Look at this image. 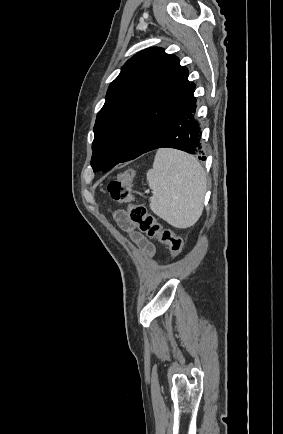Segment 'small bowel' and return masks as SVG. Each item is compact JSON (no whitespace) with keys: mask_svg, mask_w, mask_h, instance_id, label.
<instances>
[{"mask_svg":"<svg viewBox=\"0 0 283 434\" xmlns=\"http://www.w3.org/2000/svg\"><path fill=\"white\" fill-rule=\"evenodd\" d=\"M118 226L129 234L132 241L145 253L153 256L156 252L155 246L144 235L135 230V225L129 220L126 212L118 210L114 214Z\"/></svg>","mask_w":283,"mask_h":434,"instance_id":"obj_1","label":"small bowel"}]
</instances>
